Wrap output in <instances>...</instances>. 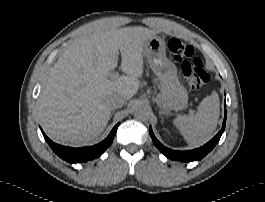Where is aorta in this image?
Returning a JSON list of instances; mask_svg holds the SVG:
<instances>
[{
	"instance_id": "762f6f07",
	"label": "aorta",
	"mask_w": 265,
	"mask_h": 202,
	"mask_svg": "<svg viewBox=\"0 0 265 202\" xmlns=\"http://www.w3.org/2000/svg\"><path fill=\"white\" fill-rule=\"evenodd\" d=\"M149 114H150V111L146 105L139 104L135 107L134 116L137 119L142 120V121L148 120Z\"/></svg>"
}]
</instances>
